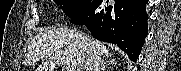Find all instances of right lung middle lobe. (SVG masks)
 Returning a JSON list of instances; mask_svg holds the SVG:
<instances>
[{
  "label": "right lung middle lobe",
  "instance_id": "obj_1",
  "mask_svg": "<svg viewBox=\"0 0 181 71\" xmlns=\"http://www.w3.org/2000/svg\"><path fill=\"white\" fill-rule=\"evenodd\" d=\"M69 18L79 17L94 7L98 0H53Z\"/></svg>",
  "mask_w": 181,
  "mask_h": 71
}]
</instances>
